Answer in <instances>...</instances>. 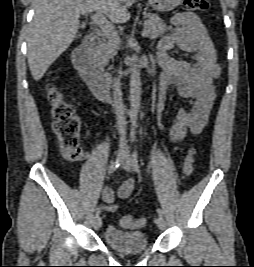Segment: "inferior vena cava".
<instances>
[{"mask_svg":"<svg viewBox=\"0 0 254 267\" xmlns=\"http://www.w3.org/2000/svg\"><path fill=\"white\" fill-rule=\"evenodd\" d=\"M113 107L116 111L117 116L122 119L123 118V105L121 101V96L119 92V84L117 79L113 80Z\"/></svg>","mask_w":254,"mask_h":267,"instance_id":"obj_1","label":"inferior vena cava"}]
</instances>
